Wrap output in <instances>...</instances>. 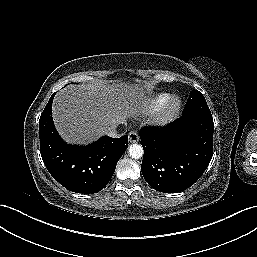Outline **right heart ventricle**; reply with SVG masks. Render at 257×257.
Listing matches in <instances>:
<instances>
[{
    "instance_id": "obj_1",
    "label": "right heart ventricle",
    "mask_w": 257,
    "mask_h": 257,
    "mask_svg": "<svg viewBox=\"0 0 257 257\" xmlns=\"http://www.w3.org/2000/svg\"><path fill=\"white\" fill-rule=\"evenodd\" d=\"M170 95L167 93L159 94L153 101L152 106L154 109L161 108L169 99Z\"/></svg>"
}]
</instances>
